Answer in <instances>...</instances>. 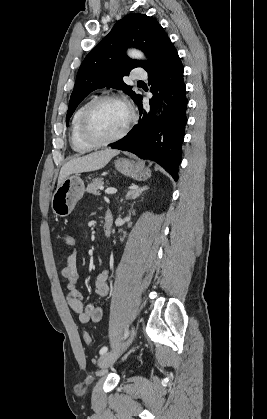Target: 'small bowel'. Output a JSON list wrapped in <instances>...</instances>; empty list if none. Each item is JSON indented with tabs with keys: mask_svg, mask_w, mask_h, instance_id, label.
<instances>
[{
	"mask_svg": "<svg viewBox=\"0 0 267 419\" xmlns=\"http://www.w3.org/2000/svg\"><path fill=\"white\" fill-rule=\"evenodd\" d=\"M61 273L67 283L68 294L66 296V302L72 310L78 313L80 323L87 324L89 322H100L103 318L102 308L95 306L94 304L85 306L83 296L78 289L80 273L78 269V251L75 245L69 248L64 255ZM110 276L109 270H103L96 277L95 291L101 297L107 296L109 292L108 281Z\"/></svg>",
	"mask_w": 267,
	"mask_h": 419,
	"instance_id": "small-bowel-1",
	"label": "small bowel"
}]
</instances>
